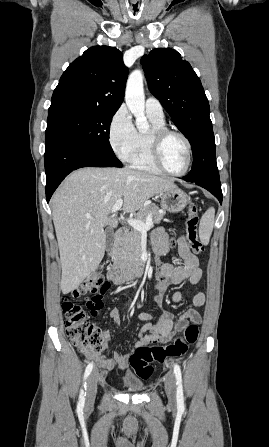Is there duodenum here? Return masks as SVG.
I'll return each mask as SVG.
<instances>
[{
  "label": "duodenum",
  "mask_w": 269,
  "mask_h": 447,
  "mask_svg": "<svg viewBox=\"0 0 269 447\" xmlns=\"http://www.w3.org/2000/svg\"><path fill=\"white\" fill-rule=\"evenodd\" d=\"M126 233L125 228H118L115 232V241H120ZM147 257L141 252L129 263H115L109 266L107 277L116 284L124 283L142 276L146 269Z\"/></svg>",
  "instance_id": "obj_1"
}]
</instances>
